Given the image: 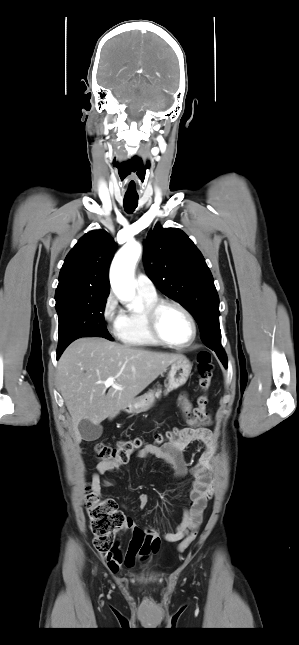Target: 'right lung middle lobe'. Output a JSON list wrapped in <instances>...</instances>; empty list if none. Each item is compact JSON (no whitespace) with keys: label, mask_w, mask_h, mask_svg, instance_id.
<instances>
[{"label":"right lung middle lobe","mask_w":299,"mask_h":645,"mask_svg":"<svg viewBox=\"0 0 299 645\" xmlns=\"http://www.w3.org/2000/svg\"><path fill=\"white\" fill-rule=\"evenodd\" d=\"M108 295L73 296L56 304L59 317L57 352L63 351L80 337L100 336L113 340L106 329L103 315Z\"/></svg>","instance_id":"1"}]
</instances>
